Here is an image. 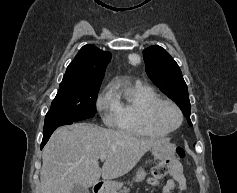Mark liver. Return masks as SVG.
Wrapping results in <instances>:
<instances>
[{
    "label": "liver",
    "mask_w": 237,
    "mask_h": 193,
    "mask_svg": "<svg viewBox=\"0 0 237 193\" xmlns=\"http://www.w3.org/2000/svg\"><path fill=\"white\" fill-rule=\"evenodd\" d=\"M162 141L88 123L60 127L43 149L41 193H71L75 184L88 188L100 177L110 181L123 176ZM102 154L106 158L101 169Z\"/></svg>",
    "instance_id": "liver-1"
}]
</instances>
